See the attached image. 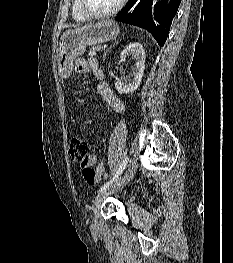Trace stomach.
<instances>
[{"mask_svg":"<svg viewBox=\"0 0 233 263\" xmlns=\"http://www.w3.org/2000/svg\"><path fill=\"white\" fill-rule=\"evenodd\" d=\"M119 32V26L113 20H101L67 30L59 42L58 73L60 77L70 76L74 60L85 52L87 46L116 39Z\"/></svg>","mask_w":233,"mask_h":263,"instance_id":"0dacf381","label":"stomach"}]
</instances>
